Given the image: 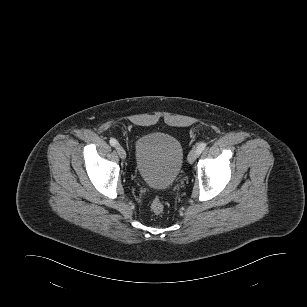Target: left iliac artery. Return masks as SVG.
Returning <instances> with one entry per match:
<instances>
[{
	"label": "left iliac artery",
	"instance_id": "obj_1",
	"mask_svg": "<svg viewBox=\"0 0 307 307\" xmlns=\"http://www.w3.org/2000/svg\"><path fill=\"white\" fill-rule=\"evenodd\" d=\"M206 146H207V143H205V142L200 143V144L197 146V151H198V153L200 154V153L205 149Z\"/></svg>",
	"mask_w": 307,
	"mask_h": 307
}]
</instances>
